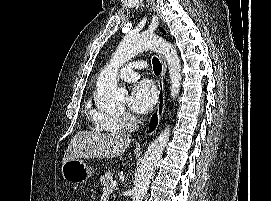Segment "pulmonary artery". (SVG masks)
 <instances>
[{
	"mask_svg": "<svg viewBox=\"0 0 271 201\" xmlns=\"http://www.w3.org/2000/svg\"><path fill=\"white\" fill-rule=\"evenodd\" d=\"M144 67L145 65L142 63H129L120 70L118 75L124 81H136L140 78L139 70Z\"/></svg>",
	"mask_w": 271,
	"mask_h": 201,
	"instance_id": "pulmonary-artery-1",
	"label": "pulmonary artery"
}]
</instances>
